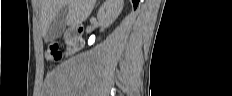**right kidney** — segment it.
Instances as JSON below:
<instances>
[{
    "mask_svg": "<svg viewBox=\"0 0 232 96\" xmlns=\"http://www.w3.org/2000/svg\"><path fill=\"white\" fill-rule=\"evenodd\" d=\"M123 8V0H106L100 7L97 17L100 24L107 28L119 16Z\"/></svg>",
    "mask_w": 232,
    "mask_h": 96,
    "instance_id": "ca27d5eb",
    "label": "right kidney"
}]
</instances>
